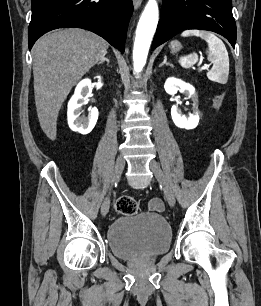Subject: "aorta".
I'll list each match as a JSON object with an SVG mask.
<instances>
[{"mask_svg": "<svg viewBox=\"0 0 261 306\" xmlns=\"http://www.w3.org/2000/svg\"><path fill=\"white\" fill-rule=\"evenodd\" d=\"M159 19V10L156 0H149L137 25L136 37L133 47V66L136 72L144 68L156 31Z\"/></svg>", "mask_w": 261, "mask_h": 306, "instance_id": "aorta-1", "label": "aorta"}]
</instances>
